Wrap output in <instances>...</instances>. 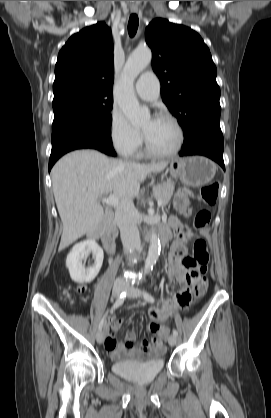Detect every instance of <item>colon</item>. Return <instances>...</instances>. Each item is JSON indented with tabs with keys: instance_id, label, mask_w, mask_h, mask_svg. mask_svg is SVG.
<instances>
[{
	"instance_id": "5ec220e1",
	"label": "colon",
	"mask_w": 271,
	"mask_h": 418,
	"mask_svg": "<svg viewBox=\"0 0 271 418\" xmlns=\"http://www.w3.org/2000/svg\"><path fill=\"white\" fill-rule=\"evenodd\" d=\"M219 185L216 182L203 186L199 193L198 199L207 206H213L218 198ZM193 193L188 188L179 189L174 196L175 208L183 214H188L191 210V198ZM211 215L208 209L203 208L196 213L194 226L196 229H202L208 225ZM210 256L206 241L201 237H196L193 243L192 257H185L182 265L185 269L192 270L195 282L193 292L196 297H201L207 289L206 272L209 266ZM188 303V299L183 300ZM151 331L157 330L158 326L151 323Z\"/></svg>"
}]
</instances>
